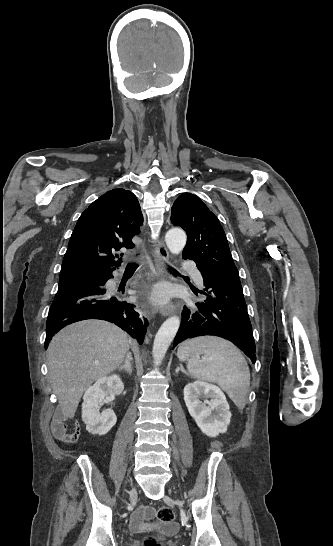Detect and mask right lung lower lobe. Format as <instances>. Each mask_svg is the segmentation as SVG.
<instances>
[{
	"label": "right lung lower lobe",
	"mask_w": 333,
	"mask_h": 546,
	"mask_svg": "<svg viewBox=\"0 0 333 546\" xmlns=\"http://www.w3.org/2000/svg\"><path fill=\"white\" fill-rule=\"evenodd\" d=\"M106 275V281L112 278ZM101 319L115 323L143 343L148 321L140 308L106 293L104 285L90 284L59 290L50 307L47 318L45 348L52 337L68 324Z\"/></svg>",
	"instance_id": "1"
}]
</instances>
